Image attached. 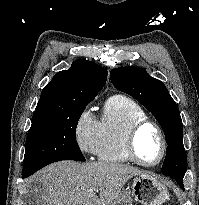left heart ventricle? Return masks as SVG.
<instances>
[{
  "instance_id": "left-heart-ventricle-1",
  "label": "left heart ventricle",
  "mask_w": 199,
  "mask_h": 205,
  "mask_svg": "<svg viewBox=\"0 0 199 205\" xmlns=\"http://www.w3.org/2000/svg\"><path fill=\"white\" fill-rule=\"evenodd\" d=\"M136 150L139 157L146 162L158 160L162 143L158 132L150 126L142 129L136 139Z\"/></svg>"
}]
</instances>
